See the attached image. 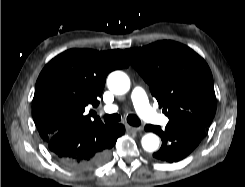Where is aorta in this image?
<instances>
[{"instance_id": "obj_1", "label": "aorta", "mask_w": 245, "mask_h": 187, "mask_svg": "<svg viewBox=\"0 0 245 187\" xmlns=\"http://www.w3.org/2000/svg\"><path fill=\"white\" fill-rule=\"evenodd\" d=\"M107 84L114 94H125L130 89V79L121 71L112 72L108 76ZM141 143L145 151L153 152L159 147V138L155 134L149 133L142 137Z\"/></svg>"}]
</instances>
